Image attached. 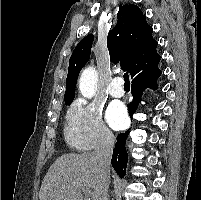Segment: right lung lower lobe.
<instances>
[{
  "label": "right lung lower lobe",
  "instance_id": "obj_1",
  "mask_svg": "<svg viewBox=\"0 0 201 200\" xmlns=\"http://www.w3.org/2000/svg\"><path fill=\"white\" fill-rule=\"evenodd\" d=\"M161 75V70L157 65L150 67L149 69L135 75L132 78V101L129 107V115L132 118V115L136 112L138 103L143 94V91L146 88L157 89V79ZM130 133L127 130L123 134L117 136V142L115 148L113 149L112 156V166L120 177H123L126 173V166L128 161V154L126 151L125 143L128 134Z\"/></svg>",
  "mask_w": 201,
  "mask_h": 200
}]
</instances>
